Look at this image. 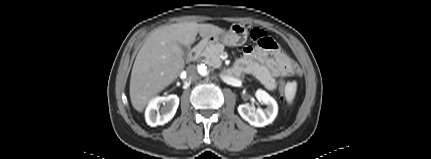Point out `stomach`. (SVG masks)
I'll return each mask as SVG.
<instances>
[{
  "label": "stomach",
  "mask_w": 431,
  "mask_h": 159,
  "mask_svg": "<svg viewBox=\"0 0 431 159\" xmlns=\"http://www.w3.org/2000/svg\"><path fill=\"white\" fill-rule=\"evenodd\" d=\"M247 29L244 25L234 23L229 30L222 32L216 36H212L206 40L207 44L212 45L218 41L226 46H242L247 40Z\"/></svg>",
  "instance_id": "obj_1"
}]
</instances>
